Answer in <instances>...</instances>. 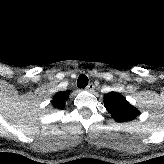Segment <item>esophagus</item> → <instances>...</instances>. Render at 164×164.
Instances as JSON below:
<instances>
[{"mask_svg": "<svg viewBox=\"0 0 164 164\" xmlns=\"http://www.w3.org/2000/svg\"><path fill=\"white\" fill-rule=\"evenodd\" d=\"M86 90L93 91L94 90V84L93 83H89L88 86L86 87Z\"/></svg>", "mask_w": 164, "mask_h": 164, "instance_id": "34e87169", "label": "esophagus"}]
</instances>
